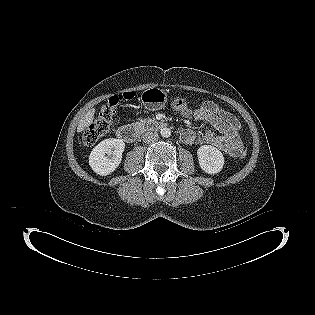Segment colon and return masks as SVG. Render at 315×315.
I'll return each mask as SVG.
<instances>
[{"label":"colon","instance_id":"colon-1","mask_svg":"<svg viewBox=\"0 0 315 315\" xmlns=\"http://www.w3.org/2000/svg\"><path fill=\"white\" fill-rule=\"evenodd\" d=\"M133 97L134 94L132 92H124L109 97L102 105L97 119L83 133V144L86 146L94 145L101 137L105 136L112 126L117 107L121 102L131 100ZM189 104L190 100L187 97H178L171 102V106L175 110L186 108ZM238 156L246 160L249 158L250 153L248 150L243 149Z\"/></svg>","mask_w":315,"mask_h":315}]
</instances>
